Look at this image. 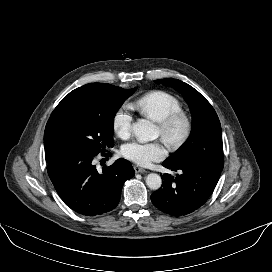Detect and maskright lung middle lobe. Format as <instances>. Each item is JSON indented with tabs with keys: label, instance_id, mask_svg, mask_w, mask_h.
<instances>
[{
	"label": "right lung middle lobe",
	"instance_id": "obj_1",
	"mask_svg": "<svg viewBox=\"0 0 272 272\" xmlns=\"http://www.w3.org/2000/svg\"><path fill=\"white\" fill-rule=\"evenodd\" d=\"M136 89L101 90L97 106L50 117L44 133L46 162L68 154L98 155L113 147L114 114Z\"/></svg>",
	"mask_w": 272,
	"mask_h": 272
}]
</instances>
